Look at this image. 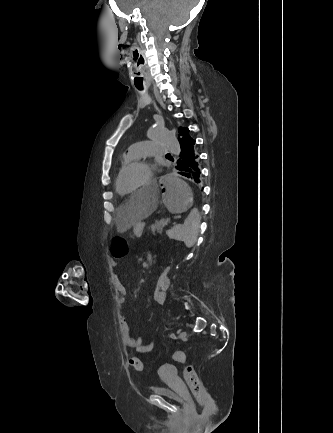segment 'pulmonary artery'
<instances>
[{"instance_id": "pulmonary-artery-1", "label": "pulmonary artery", "mask_w": 333, "mask_h": 433, "mask_svg": "<svg viewBox=\"0 0 333 433\" xmlns=\"http://www.w3.org/2000/svg\"><path fill=\"white\" fill-rule=\"evenodd\" d=\"M170 148L157 141H142L129 146L128 152L135 158L142 156L165 155Z\"/></svg>"}]
</instances>
